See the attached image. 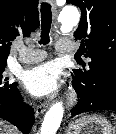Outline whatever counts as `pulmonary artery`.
Instances as JSON below:
<instances>
[{
	"instance_id": "pulmonary-artery-1",
	"label": "pulmonary artery",
	"mask_w": 116,
	"mask_h": 134,
	"mask_svg": "<svg viewBox=\"0 0 116 134\" xmlns=\"http://www.w3.org/2000/svg\"><path fill=\"white\" fill-rule=\"evenodd\" d=\"M19 51V61L26 64L37 63L46 58L42 50H26L21 44L16 46ZM56 51L59 53H73L76 51V44L70 40L62 39L56 44Z\"/></svg>"
}]
</instances>
